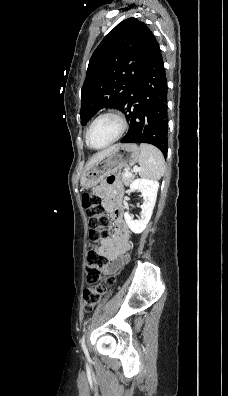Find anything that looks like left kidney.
I'll use <instances>...</instances> for the list:
<instances>
[{
  "instance_id": "left-kidney-1",
  "label": "left kidney",
  "mask_w": 228,
  "mask_h": 396,
  "mask_svg": "<svg viewBox=\"0 0 228 396\" xmlns=\"http://www.w3.org/2000/svg\"><path fill=\"white\" fill-rule=\"evenodd\" d=\"M158 188L159 182L156 180L138 178L130 184V190H139L144 200L141 206V216L138 220H134L129 212L124 214L125 221L132 232L139 234L146 228L152 216Z\"/></svg>"
}]
</instances>
